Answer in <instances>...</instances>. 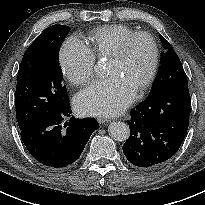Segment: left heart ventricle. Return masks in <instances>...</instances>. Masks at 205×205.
Wrapping results in <instances>:
<instances>
[{
    "label": "left heart ventricle",
    "mask_w": 205,
    "mask_h": 205,
    "mask_svg": "<svg viewBox=\"0 0 205 205\" xmlns=\"http://www.w3.org/2000/svg\"><path fill=\"white\" fill-rule=\"evenodd\" d=\"M152 62V49L146 38H138L129 46L126 56L120 61L108 62V74L128 81L136 90L146 79Z\"/></svg>",
    "instance_id": "b2bd125f"
}]
</instances>
